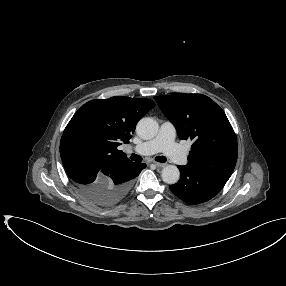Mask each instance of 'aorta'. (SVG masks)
<instances>
[{
  "label": "aorta",
  "instance_id": "762f6f07",
  "mask_svg": "<svg viewBox=\"0 0 286 286\" xmlns=\"http://www.w3.org/2000/svg\"><path fill=\"white\" fill-rule=\"evenodd\" d=\"M136 132L142 139H152L158 133V123L150 117L142 118L137 124ZM161 177L165 183L175 184L180 178L179 169L175 165H167L162 169Z\"/></svg>",
  "mask_w": 286,
  "mask_h": 286
}]
</instances>
